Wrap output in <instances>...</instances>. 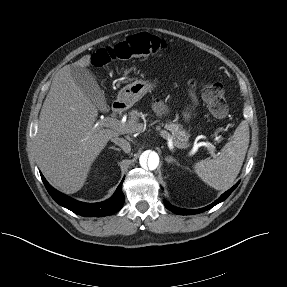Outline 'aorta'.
I'll use <instances>...</instances> for the list:
<instances>
[{"mask_svg":"<svg viewBox=\"0 0 287 287\" xmlns=\"http://www.w3.org/2000/svg\"><path fill=\"white\" fill-rule=\"evenodd\" d=\"M140 165L149 170H155L159 165V156L154 151H145L140 156Z\"/></svg>","mask_w":287,"mask_h":287,"instance_id":"762f6f07","label":"aorta"}]
</instances>
